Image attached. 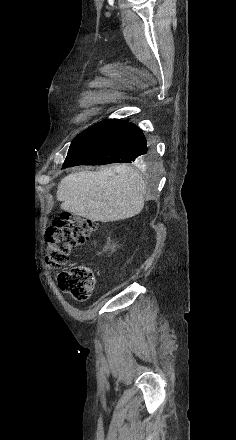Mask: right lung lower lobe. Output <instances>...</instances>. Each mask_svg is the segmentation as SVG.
I'll return each mask as SVG.
<instances>
[{"label": "right lung lower lobe", "instance_id": "98d812e1", "mask_svg": "<svg viewBox=\"0 0 236 440\" xmlns=\"http://www.w3.org/2000/svg\"><path fill=\"white\" fill-rule=\"evenodd\" d=\"M147 153L146 138L140 128L123 120L106 119L74 138L63 168L139 162Z\"/></svg>", "mask_w": 236, "mask_h": 440}]
</instances>
